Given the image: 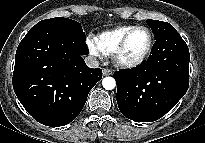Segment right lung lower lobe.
I'll use <instances>...</instances> for the list:
<instances>
[{"label":"right lung lower lobe","mask_w":205,"mask_h":143,"mask_svg":"<svg viewBox=\"0 0 205 143\" xmlns=\"http://www.w3.org/2000/svg\"><path fill=\"white\" fill-rule=\"evenodd\" d=\"M84 40L52 25L33 26L15 56L13 88L26 111L46 126H64L82 111L102 78L89 68Z\"/></svg>","instance_id":"right-lung-lower-lobe-1"}]
</instances>
